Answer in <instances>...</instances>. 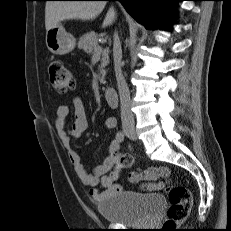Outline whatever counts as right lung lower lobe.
<instances>
[{
	"label": "right lung lower lobe",
	"instance_id": "obj_1",
	"mask_svg": "<svg viewBox=\"0 0 231 231\" xmlns=\"http://www.w3.org/2000/svg\"><path fill=\"white\" fill-rule=\"evenodd\" d=\"M120 1L127 12L137 21L143 23L146 28L169 29L172 25L170 19L162 17L164 13L165 2L182 1V0H105ZM131 3V4H129ZM173 14V12H171Z\"/></svg>",
	"mask_w": 231,
	"mask_h": 231
}]
</instances>
